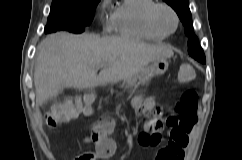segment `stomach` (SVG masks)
<instances>
[{
    "mask_svg": "<svg viewBox=\"0 0 242 160\" xmlns=\"http://www.w3.org/2000/svg\"><path fill=\"white\" fill-rule=\"evenodd\" d=\"M169 63L166 60L153 62L145 71L139 73L132 79L123 82L126 89L136 90L140 86H148L151 79L158 75H163L168 69Z\"/></svg>",
    "mask_w": 242,
    "mask_h": 160,
    "instance_id": "obj_1",
    "label": "stomach"
}]
</instances>
